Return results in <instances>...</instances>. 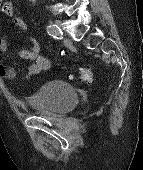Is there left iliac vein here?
Returning <instances> with one entry per match:
<instances>
[{"instance_id": "left-iliac-vein-1", "label": "left iliac vein", "mask_w": 143, "mask_h": 170, "mask_svg": "<svg viewBox=\"0 0 143 170\" xmlns=\"http://www.w3.org/2000/svg\"><path fill=\"white\" fill-rule=\"evenodd\" d=\"M54 24L57 25L58 27H61V26H62V22L59 21V20H56V21L54 22ZM67 42L70 43V41H67Z\"/></svg>"}]
</instances>
